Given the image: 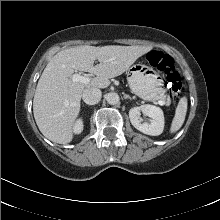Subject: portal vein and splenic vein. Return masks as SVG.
Returning a JSON list of instances; mask_svg holds the SVG:
<instances>
[{
	"mask_svg": "<svg viewBox=\"0 0 220 220\" xmlns=\"http://www.w3.org/2000/svg\"><path fill=\"white\" fill-rule=\"evenodd\" d=\"M72 80H73V82H80V83H83V84H88L90 82L89 77L82 76L80 74H73L72 75ZM157 103L161 106L165 105V102L161 101V100H159Z\"/></svg>",
	"mask_w": 220,
	"mask_h": 220,
	"instance_id": "18ae733b",
	"label": "portal vein and splenic vein"
}]
</instances>
